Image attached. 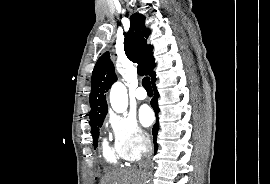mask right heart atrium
<instances>
[{
	"label": "right heart atrium",
	"mask_w": 270,
	"mask_h": 184,
	"mask_svg": "<svg viewBox=\"0 0 270 184\" xmlns=\"http://www.w3.org/2000/svg\"><path fill=\"white\" fill-rule=\"evenodd\" d=\"M107 124L113 136L116 152L127 162L138 160L150 145L149 137L135 118L111 113Z\"/></svg>",
	"instance_id": "obj_1"
}]
</instances>
